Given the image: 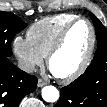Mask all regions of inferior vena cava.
Here are the masks:
<instances>
[{"label":"inferior vena cava","mask_w":107,"mask_h":107,"mask_svg":"<svg viewBox=\"0 0 107 107\" xmlns=\"http://www.w3.org/2000/svg\"><path fill=\"white\" fill-rule=\"evenodd\" d=\"M18 68L21 69V70H23V71H25V72H27V73H32V72L35 71L34 64H31L29 62L22 61V60H20L18 62Z\"/></svg>","instance_id":"inferior-vena-cava-1"}]
</instances>
